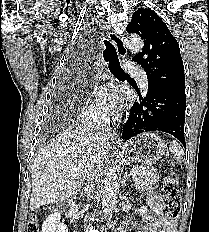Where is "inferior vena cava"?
Wrapping results in <instances>:
<instances>
[{
  "label": "inferior vena cava",
  "mask_w": 209,
  "mask_h": 232,
  "mask_svg": "<svg viewBox=\"0 0 209 232\" xmlns=\"http://www.w3.org/2000/svg\"><path fill=\"white\" fill-rule=\"evenodd\" d=\"M105 131L106 129L104 127L100 128V132L94 134V148L93 153L95 155H100L101 149H102V142H104L105 139ZM97 158V157H96ZM101 169V165L98 160H94L91 163V166L88 170L87 177H86V187L84 189L85 193L89 195L94 190V185L97 182L98 174Z\"/></svg>",
  "instance_id": "obj_1"
}]
</instances>
